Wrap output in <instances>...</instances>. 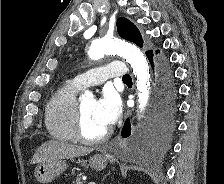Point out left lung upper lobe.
Segmentation results:
<instances>
[{
  "label": "left lung upper lobe",
  "mask_w": 224,
  "mask_h": 184,
  "mask_svg": "<svg viewBox=\"0 0 224 184\" xmlns=\"http://www.w3.org/2000/svg\"><path fill=\"white\" fill-rule=\"evenodd\" d=\"M117 31L121 38L131 41L138 45L143 46V39L138 28L128 19L121 17L117 20ZM152 54V51L146 52V55Z\"/></svg>",
  "instance_id": "left-lung-upper-lobe-1"
}]
</instances>
